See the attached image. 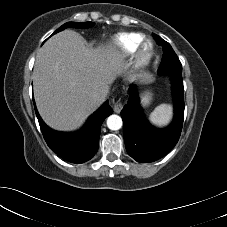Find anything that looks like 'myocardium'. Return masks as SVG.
<instances>
[{
    "mask_svg": "<svg viewBox=\"0 0 227 227\" xmlns=\"http://www.w3.org/2000/svg\"><path fill=\"white\" fill-rule=\"evenodd\" d=\"M154 56V43L150 39H144L136 52L135 65L137 68L147 67Z\"/></svg>",
    "mask_w": 227,
    "mask_h": 227,
    "instance_id": "obj_1",
    "label": "myocardium"
}]
</instances>
